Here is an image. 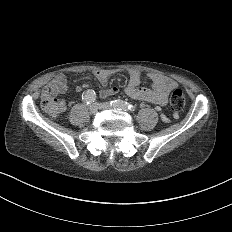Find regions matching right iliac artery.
Listing matches in <instances>:
<instances>
[{"label":"right iliac artery","instance_id":"obj_1","mask_svg":"<svg viewBox=\"0 0 232 232\" xmlns=\"http://www.w3.org/2000/svg\"><path fill=\"white\" fill-rule=\"evenodd\" d=\"M97 95L94 90H86L82 93V101L89 104L96 101Z\"/></svg>","mask_w":232,"mask_h":232}]
</instances>
